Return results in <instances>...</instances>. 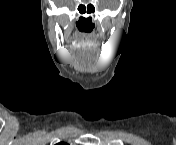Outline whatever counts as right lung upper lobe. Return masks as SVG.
<instances>
[{"mask_svg":"<svg viewBox=\"0 0 176 145\" xmlns=\"http://www.w3.org/2000/svg\"><path fill=\"white\" fill-rule=\"evenodd\" d=\"M57 145H66V143L60 142V143H58Z\"/></svg>","mask_w":176,"mask_h":145,"instance_id":"obj_1","label":"right lung upper lobe"}]
</instances>
